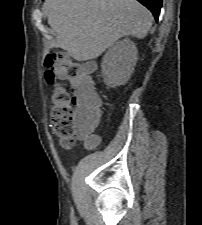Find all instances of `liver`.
<instances>
[{
  "mask_svg": "<svg viewBox=\"0 0 202 225\" xmlns=\"http://www.w3.org/2000/svg\"><path fill=\"white\" fill-rule=\"evenodd\" d=\"M44 10L55 38L51 47L76 61L99 57L124 36L143 39L152 15L136 0H46Z\"/></svg>",
  "mask_w": 202,
  "mask_h": 225,
  "instance_id": "6515ba94",
  "label": "liver"
}]
</instances>
